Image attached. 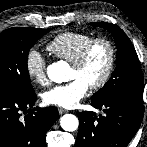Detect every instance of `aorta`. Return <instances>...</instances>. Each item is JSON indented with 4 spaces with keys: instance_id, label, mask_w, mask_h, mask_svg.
<instances>
[{
    "instance_id": "1",
    "label": "aorta",
    "mask_w": 147,
    "mask_h": 147,
    "mask_svg": "<svg viewBox=\"0 0 147 147\" xmlns=\"http://www.w3.org/2000/svg\"><path fill=\"white\" fill-rule=\"evenodd\" d=\"M69 65L64 61H58L50 64L47 67V75L49 79L55 83H62L67 81V71ZM60 125L65 131H75L78 128V118L73 114H65L60 119Z\"/></svg>"
}]
</instances>
